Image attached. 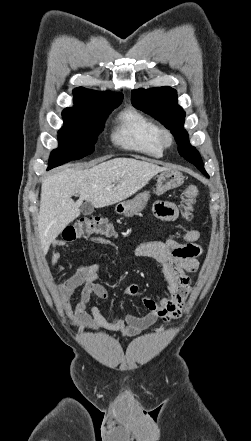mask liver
Here are the masks:
<instances>
[{
  "mask_svg": "<svg viewBox=\"0 0 251 441\" xmlns=\"http://www.w3.org/2000/svg\"><path fill=\"white\" fill-rule=\"evenodd\" d=\"M168 167L133 158H114L89 169L66 168L42 181L38 232L43 254L63 229L80 215L83 200L95 208L121 202ZM79 194L76 202L71 198Z\"/></svg>",
  "mask_w": 251,
  "mask_h": 441,
  "instance_id": "1",
  "label": "liver"
}]
</instances>
